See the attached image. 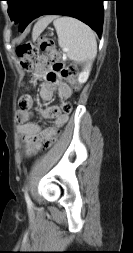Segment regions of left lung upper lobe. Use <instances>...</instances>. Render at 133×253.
<instances>
[{
  "label": "left lung upper lobe",
  "instance_id": "5c2ea615",
  "mask_svg": "<svg viewBox=\"0 0 133 253\" xmlns=\"http://www.w3.org/2000/svg\"><path fill=\"white\" fill-rule=\"evenodd\" d=\"M8 2V14L11 20L18 23L29 0H5Z\"/></svg>",
  "mask_w": 133,
  "mask_h": 253
}]
</instances>
